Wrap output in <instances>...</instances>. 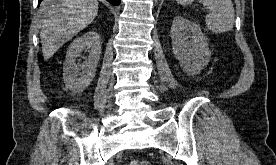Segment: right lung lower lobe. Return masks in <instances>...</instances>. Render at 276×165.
Listing matches in <instances>:
<instances>
[{
    "instance_id": "obj_1",
    "label": "right lung lower lobe",
    "mask_w": 276,
    "mask_h": 165,
    "mask_svg": "<svg viewBox=\"0 0 276 165\" xmlns=\"http://www.w3.org/2000/svg\"><path fill=\"white\" fill-rule=\"evenodd\" d=\"M41 1L42 0H39V4H40ZM107 1L110 2L113 5H119L121 0H107Z\"/></svg>"
}]
</instances>
